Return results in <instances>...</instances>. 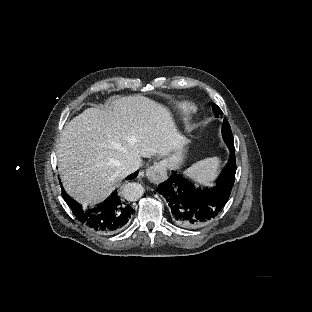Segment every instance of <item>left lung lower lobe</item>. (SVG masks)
<instances>
[{"instance_id": "left-lung-lower-lobe-1", "label": "left lung lower lobe", "mask_w": 312, "mask_h": 312, "mask_svg": "<svg viewBox=\"0 0 312 312\" xmlns=\"http://www.w3.org/2000/svg\"><path fill=\"white\" fill-rule=\"evenodd\" d=\"M230 158L212 188L196 187L194 183L176 172L157 191L170 207V219L189 229H199L210 223L229 199L236 173L234 144H227Z\"/></svg>"}]
</instances>
